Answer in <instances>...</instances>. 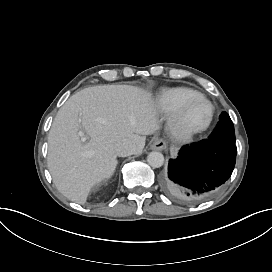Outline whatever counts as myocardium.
<instances>
[{
  "mask_svg": "<svg viewBox=\"0 0 272 272\" xmlns=\"http://www.w3.org/2000/svg\"><path fill=\"white\" fill-rule=\"evenodd\" d=\"M197 98L205 100L210 106L211 114H210V118H209L208 122L205 125L199 126V127L189 126V127L181 128L179 118L174 117L173 120H172V123H173L172 125H173V130L175 132L182 133V134L201 133V132H204V131L208 130L210 128V126L212 125V123L214 122L215 115H216L215 105L213 104V102L208 97H206L205 95L200 94V93L198 95L194 96V97H191V98H188V99H185L184 101H182L179 104V106H178V108L176 110H179L180 113L183 114L184 109L189 104H191L193 101H195Z\"/></svg>",
  "mask_w": 272,
  "mask_h": 272,
  "instance_id": "1",
  "label": "myocardium"
}]
</instances>
